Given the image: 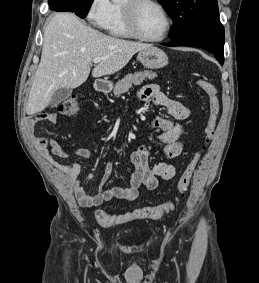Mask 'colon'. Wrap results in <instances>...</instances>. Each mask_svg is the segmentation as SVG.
Returning a JSON list of instances; mask_svg holds the SVG:
<instances>
[{"mask_svg": "<svg viewBox=\"0 0 259 283\" xmlns=\"http://www.w3.org/2000/svg\"><path fill=\"white\" fill-rule=\"evenodd\" d=\"M197 84L209 96L210 113L204 129V142L200 150L197 151L187 163L186 168L179 178L172 199L165 204L148 206L123 214H109L104 211H99L97 213V219L102 225L113 226L133 220L158 218L164 212L172 210L176 203H178L185 196L201 153L206 149L214 135L220 108L217 88L211 82L204 79H199ZM78 111L79 103L75 95L65 98L58 107V112L64 116H74L78 113Z\"/></svg>", "mask_w": 259, "mask_h": 283, "instance_id": "1", "label": "colon"}]
</instances>
